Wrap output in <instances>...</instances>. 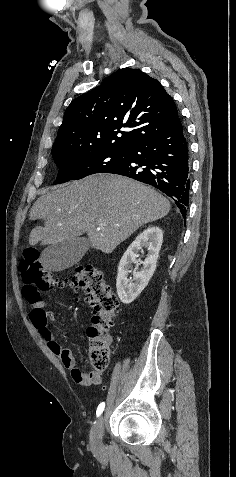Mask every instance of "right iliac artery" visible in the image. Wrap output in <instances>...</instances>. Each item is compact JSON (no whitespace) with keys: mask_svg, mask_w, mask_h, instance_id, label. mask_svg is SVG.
I'll return each mask as SVG.
<instances>
[{"mask_svg":"<svg viewBox=\"0 0 236 477\" xmlns=\"http://www.w3.org/2000/svg\"><path fill=\"white\" fill-rule=\"evenodd\" d=\"M104 408H105V403L104 402L100 403L96 411L97 417H99L102 414V412L104 411Z\"/></svg>","mask_w":236,"mask_h":477,"instance_id":"obj_1","label":"right iliac artery"}]
</instances>
